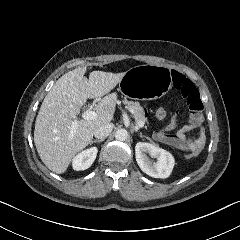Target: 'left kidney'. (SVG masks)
<instances>
[{"label":"left kidney","instance_id":"1","mask_svg":"<svg viewBox=\"0 0 240 240\" xmlns=\"http://www.w3.org/2000/svg\"><path fill=\"white\" fill-rule=\"evenodd\" d=\"M147 154L157 161L152 163ZM135 157L140 169L154 178H168L175 165L170 152L150 143L138 142L135 146Z\"/></svg>","mask_w":240,"mask_h":240}]
</instances>
